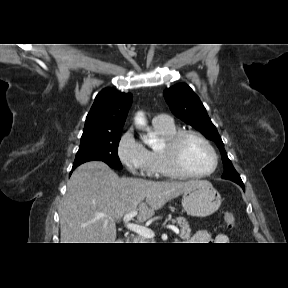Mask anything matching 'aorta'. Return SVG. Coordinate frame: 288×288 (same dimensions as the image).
Listing matches in <instances>:
<instances>
[{"mask_svg":"<svg viewBox=\"0 0 288 288\" xmlns=\"http://www.w3.org/2000/svg\"><path fill=\"white\" fill-rule=\"evenodd\" d=\"M135 123L138 126H143L146 124V120H145L144 114L142 112L137 113V115L135 117ZM143 141H144V143H146L150 147L155 146V140H153V139H148L146 137H143Z\"/></svg>","mask_w":288,"mask_h":288,"instance_id":"aorta-1","label":"aorta"}]
</instances>
